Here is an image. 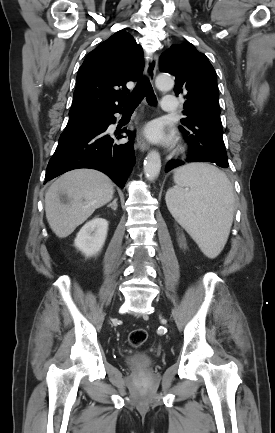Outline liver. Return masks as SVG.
Returning a JSON list of instances; mask_svg holds the SVG:
<instances>
[{
	"label": "liver",
	"mask_w": 275,
	"mask_h": 433,
	"mask_svg": "<svg viewBox=\"0 0 275 433\" xmlns=\"http://www.w3.org/2000/svg\"><path fill=\"white\" fill-rule=\"evenodd\" d=\"M68 201L62 202L60 195ZM114 187L110 178L93 169H76L60 176L45 194L46 218L59 238L69 236L97 209L110 202Z\"/></svg>",
	"instance_id": "obj_1"
}]
</instances>
